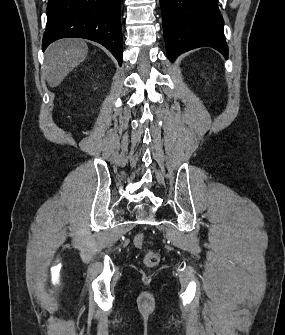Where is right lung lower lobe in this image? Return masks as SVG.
<instances>
[{"mask_svg":"<svg viewBox=\"0 0 285 335\" xmlns=\"http://www.w3.org/2000/svg\"><path fill=\"white\" fill-rule=\"evenodd\" d=\"M85 38L105 46L122 64L120 0H48L43 51L55 40Z\"/></svg>","mask_w":285,"mask_h":335,"instance_id":"1","label":"right lung lower lobe"}]
</instances>
